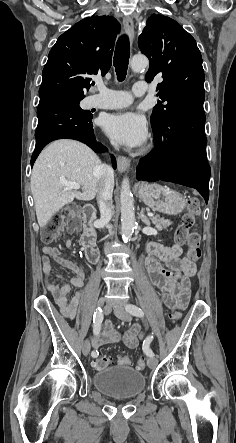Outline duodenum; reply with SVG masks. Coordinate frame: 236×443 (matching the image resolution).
I'll use <instances>...</instances> for the list:
<instances>
[{"label":"duodenum","mask_w":236,"mask_h":443,"mask_svg":"<svg viewBox=\"0 0 236 443\" xmlns=\"http://www.w3.org/2000/svg\"><path fill=\"white\" fill-rule=\"evenodd\" d=\"M96 216V210L93 206L88 205L83 209V217L85 219L84 232L80 239V244L85 251L86 258L91 264L97 263L98 249L96 247V233L93 227V219Z\"/></svg>","instance_id":"1"}]
</instances>
